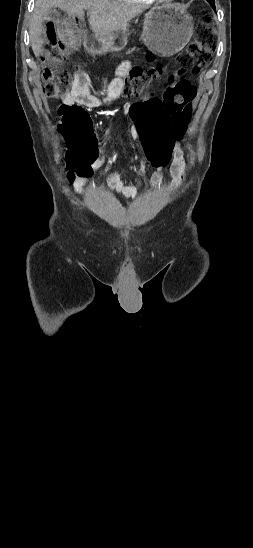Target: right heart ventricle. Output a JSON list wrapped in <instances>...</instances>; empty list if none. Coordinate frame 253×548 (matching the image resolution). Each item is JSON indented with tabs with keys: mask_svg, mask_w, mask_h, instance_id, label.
Wrapping results in <instances>:
<instances>
[{
	"mask_svg": "<svg viewBox=\"0 0 253 548\" xmlns=\"http://www.w3.org/2000/svg\"><path fill=\"white\" fill-rule=\"evenodd\" d=\"M120 2H124L127 4H134V5H151L154 3L155 0H118Z\"/></svg>",
	"mask_w": 253,
	"mask_h": 548,
	"instance_id": "e07e8e85",
	"label": "right heart ventricle"
}]
</instances>
